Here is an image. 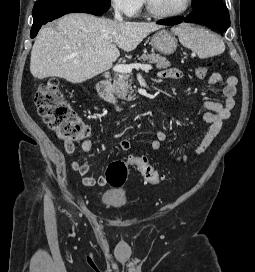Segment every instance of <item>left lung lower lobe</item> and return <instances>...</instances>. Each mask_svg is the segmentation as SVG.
Wrapping results in <instances>:
<instances>
[{"instance_id":"1","label":"left lung lower lobe","mask_w":255,"mask_h":272,"mask_svg":"<svg viewBox=\"0 0 255 272\" xmlns=\"http://www.w3.org/2000/svg\"><path fill=\"white\" fill-rule=\"evenodd\" d=\"M185 21L215 27L220 33L225 32L230 19L227 7L220 0H209L194 8L186 18H176L157 22L164 25H176Z\"/></svg>"}]
</instances>
